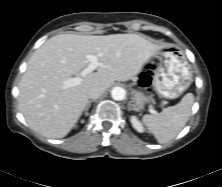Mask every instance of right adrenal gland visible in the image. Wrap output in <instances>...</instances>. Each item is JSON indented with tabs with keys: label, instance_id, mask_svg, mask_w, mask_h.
<instances>
[{
	"label": "right adrenal gland",
	"instance_id": "2a0ac1e0",
	"mask_svg": "<svg viewBox=\"0 0 222 187\" xmlns=\"http://www.w3.org/2000/svg\"><path fill=\"white\" fill-rule=\"evenodd\" d=\"M92 102H93V100L89 101L88 104H87V106H86V108H85V115H86V116L88 115V112H87V111L89 110L90 105H91Z\"/></svg>",
	"mask_w": 222,
	"mask_h": 187
}]
</instances>
